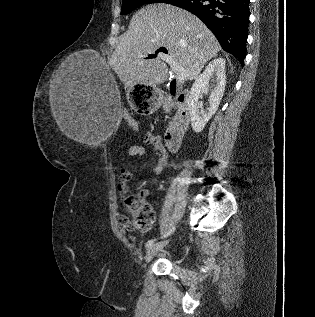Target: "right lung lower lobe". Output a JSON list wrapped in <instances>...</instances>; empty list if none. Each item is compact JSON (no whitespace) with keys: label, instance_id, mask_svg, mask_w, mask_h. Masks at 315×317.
I'll list each match as a JSON object with an SVG mask.
<instances>
[{"label":"right lung lower lobe","instance_id":"98d812e1","mask_svg":"<svg viewBox=\"0 0 315 317\" xmlns=\"http://www.w3.org/2000/svg\"><path fill=\"white\" fill-rule=\"evenodd\" d=\"M172 5L200 18L221 47L243 66L249 24V0H177Z\"/></svg>","mask_w":315,"mask_h":317}]
</instances>
